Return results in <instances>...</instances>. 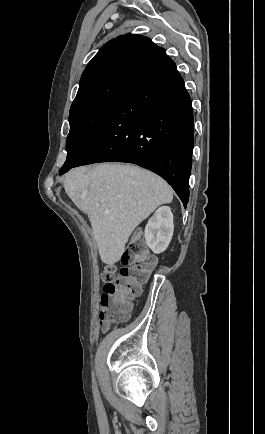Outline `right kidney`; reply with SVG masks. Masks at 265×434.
I'll use <instances>...</instances> for the list:
<instances>
[{
	"mask_svg": "<svg viewBox=\"0 0 265 434\" xmlns=\"http://www.w3.org/2000/svg\"><path fill=\"white\" fill-rule=\"evenodd\" d=\"M174 232L173 214L169 206H161L150 218L145 228V240L153 254H161L168 248Z\"/></svg>",
	"mask_w": 265,
	"mask_h": 434,
	"instance_id": "obj_1",
	"label": "right kidney"
}]
</instances>
